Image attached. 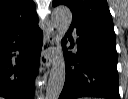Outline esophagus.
Returning a JSON list of instances; mask_svg holds the SVG:
<instances>
[{"mask_svg": "<svg viewBox=\"0 0 128 99\" xmlns=\"http://www.w3.org/2000/svg\"><path fill=\"white\" fill-rule=\"evenodd\" d=\"M57 48V28L54 24L49 25V29L45 33L44 43L42 47L41 66L50 67L54 52Z\"/></svg>", "mask_w": 128, "mask_h": 99, "instance_id": "34e87169", "label": "esophagus"}]
</instances>
